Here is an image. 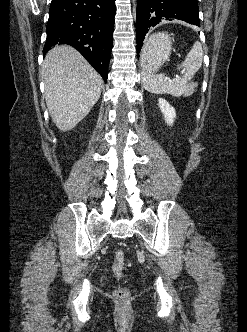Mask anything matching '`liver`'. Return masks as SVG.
<instances>
[{"instance_id":"liver-1","label":"liver","mask_w":247,"mask_h":332,"mask_svg":"<svg viewBox=\"0 0 247 332\" xmlns=\"http://www.w3.org/2000/svg\"><path fill=\"white\" fill-rule=\"evenodd\" d=\"M45 99L50 116L63 132L74 128L101 95L103 80L71 46L52 48L42 65Z\"/></svg>"}]
</instances>
